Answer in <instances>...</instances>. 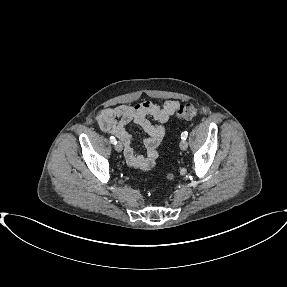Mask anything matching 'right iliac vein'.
<instances>
[{
	"label": "right iliac vein",
	"mask_w": 287,
	"mask_h": 287,
	"mask_svg": "<svg viewBox=\"0 0 287 287\" xmlns=\"http://www.w3.org/2000/svg\"><path fill=\"white\" fill-rule=\"evenodd\" d=\"M114 148H115L116 151L121 152L122 149H123V145H122V143H121L120 141H118V142L114 145Z\"/></svg>",
	"instance_id": "63e3f726"
}]
</instances>
